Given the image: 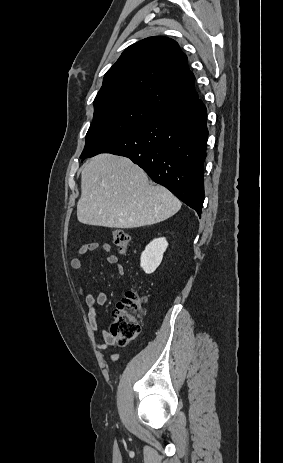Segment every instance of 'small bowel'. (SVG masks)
Here are the masks:
<instances>
[{
  "mask_svg": "<svg viewBox=\"0 0 283 463\" xmlns=\"http://www.w3.org/2000/svg\"><path fill=\"white\" fill-rule=\"evenodd\" d=\"M101 249L104 252L108 253L107 255V263L110 265L115 266L116 271L119 275L124 274V268L121 264H119V260L117 255L111 253V245L109 243H102L100 244L97 241L91 240L87 241L84 243L80 249L78 250L77 255L71 260V267L74 270H79L84 261L86 260L87 254L90 251H95ZM79 293L81 295H84V288L83 286L79 285ZM107 295L105 292H99L97 295H95L92 291H89L85 294V301L88 307V321H89V326L90 330L94 336V338H97V331H98V324H99V314L97 307L99 305H103L106 302ZM115 343V340L113 336L111 335L110 332L104 331V342L100 343L97 342V346L101 349H105L109 346H113ZM113 361H118L120 358V355L115 353L111 356Z\"/></svg>",
  "mask_w": 283,
  "mask_h": 463,
  "instance_id": "small-bowel-1",
  "label": "small bowel"
}]
</instances>
